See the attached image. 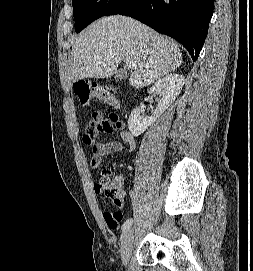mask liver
Segmentation results:
<instances>
[{"label": "liver", "instance_id": "liver-1", "mask_svg": "<svg viewBox=\"0 0 253 271\" xmlns=\"http://www.w3.org/2000/svg\"><path fill=\"white\" fill-rule=\"evenodd\" d=\"M129 59V83L142 88L176 70L182 64L177 44L150 27L121 15L92 23L72 45L68 87L85 78H108Z\"/></svg>", "mask_w": 253, "mask_h": 271}]
</instances>
